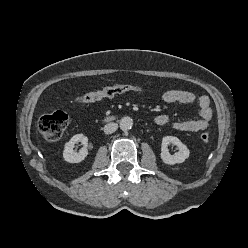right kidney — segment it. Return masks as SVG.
Wrapping results in <instances>:
<instances>
[{"label":"right kidney","mask_w":248,"mask_h":248,"mask_svg":"<svg viewBox=\"0 0 248 248\" xmlns=\"http://www.w3.org/2000/svg\"><path fill=\"white\" fill-rule=\"evenodd\" d=\"M81 142L83 144V148L78 152H74L73 148L75 143ZM88 138L83 134L74 135L68 142H66L63 150V157L66 162L69 163H80L83 161L88 155L87 150Z\"/></svg>","instance_id":"ca27d5eb"}]
</instances>
